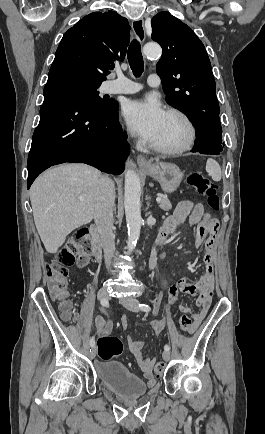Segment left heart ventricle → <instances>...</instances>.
I'll return each instance as SVG.
<instances>
[{"label":"left heart ventricle","mask_w":265,"mask_h":434,"mask_svg":"<svg viewBox=\"0 0 265 434\" xmlns=\"http://www.w3.org/2000/svg\"><path fill=\"white\" fill-rule=\"evenodd\" d=\"M185 137L183 123L174 116L165 117V121L152 144L159 148H174L179 146Z\"/></svg>","instance_id":"obj_1"}]
</instances>
